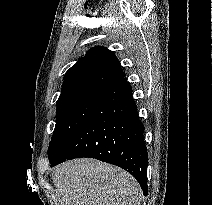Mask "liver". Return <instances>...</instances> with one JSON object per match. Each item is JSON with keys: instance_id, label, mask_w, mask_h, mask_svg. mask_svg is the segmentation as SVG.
Segmentation results:
<instances>
[{"instance_id": "liver-1", "label": "liver", "mask_w": 212, "mask_h": 205, "mask_svg": "<svg viewBox=\"0 0 212 205\" xmlns=\"http://www.w3.org/2000/svg\"><path fill=\"white\" fill-rule=\"evenodd\" d=\"M58 205H140L138 182L122 169L82 158L52 171Z\"/></svg>"}]
</instances>
